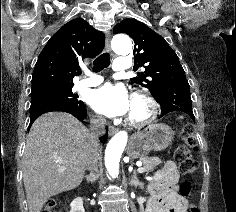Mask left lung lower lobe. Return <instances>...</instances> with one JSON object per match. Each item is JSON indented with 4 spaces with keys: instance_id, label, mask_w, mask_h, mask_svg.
<instances>
[{
    "instance_id": "left-lung-lower-lobe-1",
    "label": "left lung lower lobe",
    "mask_w": 236,
    "mask_h": 212,
    "mask_svg": "<svg viewBox=\"0 0 236 212\" xmlns=\"http://www.w3.org/2000/svg\"><path fill=\"white\" fill-rule=\"evenodd\" d=\"M155 100L162 109L160 117L173 111H181L188 114L195 121L192 111L190 86L186 79L166 87L163 93Z\"/></svg>"
}]
</instances>
